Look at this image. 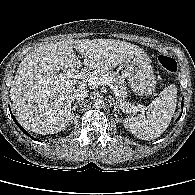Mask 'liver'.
I'll list each match as a JSON object with an SVG mask.
<instances>
[{
    "label": "liver",
    "instance_id": "liver-1",
    "mask_svg": "<svg viewBox=\"0 0 195 195\" xmlns=\"http://www.w3.org/2000/svg\"><path fill=\"white\" fill-rule=\"evenodd\" d=\"M86 70H110L136 55L139 46L114 39L62 40L40 46L19 64L10 97L20 124L42 135L65 129L72 118V91L83 85L61 69L81 66Z\"/></svg>",
    "mask_w": 195,
    "mask_h": 195
}]
</instances>
